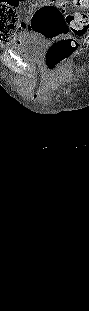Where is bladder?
Wrapping results in <instances>:
<instances>
[{
    "label": "bladder",
    "mask_w": 89,
    "mask_h": 311,
    "mask_svg": "<svg viewBox=\"0 0 89 311\" xmlns=\"http://www.w3.org/2000/svg\"><path fill=\"white\" fill-rule=\"evenodd\" d=\"M26 38L10 45V49L21 55L22 58L29 61L37 60L43 52V44L35 38Z\"/></svg>",
    "instance_id": "bladder-1"
}]
</instances>
